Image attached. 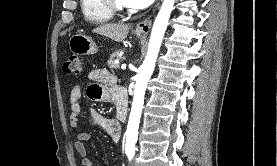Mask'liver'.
Instances as JSON below:
<instances>
[{
  "mask_svg": "<svg viewBox=\"0 0 277 166\" xmlns=\"http://www.w3.org/2000/svg\"><path fill=\"white\" fill-rule=\"evenodd\" d=\"M130 26L127 24L107 23L92 30L93 33L108 37L116 42H122L128 35Z\"/></svg>",
  "mask_w": 277,
  "mask_h": 166,
  "instance_id": "liver-1",
  "label": "liver"
}]
</instances>
